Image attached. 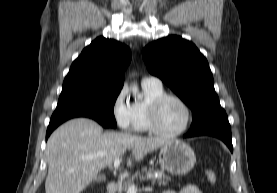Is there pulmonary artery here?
Returning <instances> with one entry per match:
<instances>
[{
	"instance_id": "pulmonary-artery-1",
	"label": "pulmonary artery",
	"mask_w": 277,
	"mask_h": 193,
	"mask_svg": "<svg viewBox=\"0 0 277 193\" xmlns=\"http://www.w3.org/2000/svg\"><path fill=\"white\" fill-rule=\"evenodd\" d=\"M142 86L161 88L162 82L155 76H144L141 80Z\"/></svg>"
}]
</instances>
